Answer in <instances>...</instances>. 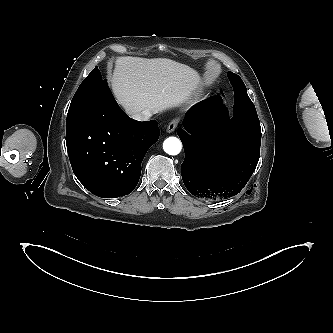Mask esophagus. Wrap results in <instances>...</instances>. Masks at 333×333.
Listing matches in <instances>:
<instances>
[{"instance_id":"esophagus-1","label":"esophagus","mask_w":333,"mask_h":333,"mask_svg":"<svg viewBox=\"0 0 333 333\" xmlns=\"http://www.w3.org/2000/svg\"><path fill=\"white\" fill-rule=\"evenodd\" d=\"M178 122H179V119H178V118L173 119V120L168 124L166 131H167L168 133H172V132L176 129Z\"/></svg>"}]
</instances>
